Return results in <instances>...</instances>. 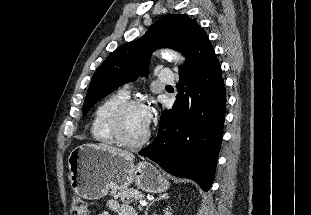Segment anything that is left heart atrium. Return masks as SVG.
<instances>
[{"mask_svg": "<svg viewBox=\"0 0 311 215\" xmlns=\"http://www.w3.org/2000/svg\"><path fill=\"white\" fill-rule=\"evenodd\" d=\"M151 120H152V113H151L150 110L146 109L145 116H144V121H145V125H146L147 129L149 128Z\"/></svg>", "mask_w": 311, "mask_h": 215, "instance_id": "1", "label": "left heart atrium"}]
</instances>
